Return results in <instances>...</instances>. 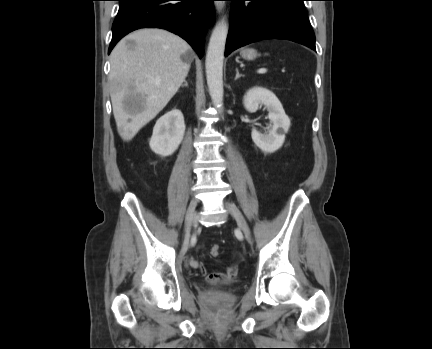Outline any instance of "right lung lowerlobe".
I'll return each mask as SVG.
<instances>
[{
  "label": "right lung lower lobe",
  "mask_w": 432,
  "mask_h": 349,
  "mask_svg": "<svg viewBox=\"0 0 432 349\" xmlns=\"http://www.w3.org/2000/svg\"><path fill=\"white\" fill-rule=\"evenodd\" d=\"M109 51L129 32L139 28H163L185 39L199 57L203 36L214 21V0H118Z\"/></svg>",
  "instance_id": "right-lung-lower-lobe-1"
}]
</instances>
